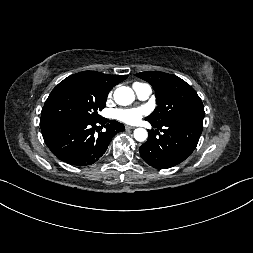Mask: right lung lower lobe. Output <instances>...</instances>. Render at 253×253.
Segmentation results:
<instances>
[{"label": "right lung lower lobe", "mask_w": 253, "mask_h": 253, "mask_svg": "<svg viewBox=\"0 0 253 253\" xmlns=\"http://www.w3.org/2000/svg\"><path fill=\"white\" fill-rule=\"evenodd\" d=\"M100 125V126H99ZM105 132H99L102 127ZM44 141L60 160L75 166L95 163L107 150L112 137L125 130L123 124L101 118L97 121L53 119L40 121ZM98 132V134L96 133Z\"/></svg>", "instance_id": "1"}]
</instances>
